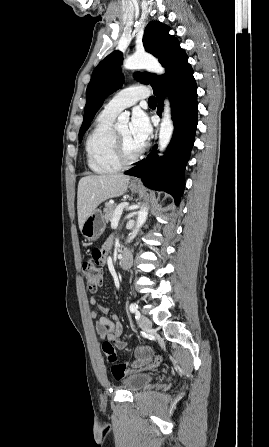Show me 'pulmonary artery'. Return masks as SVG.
Wrapping results in <instances>:
<instances>
[{
	"mask_svg": "<svg viewBox=\"0 0 269 447\" xmlns=\"http://www.w3.org/2000/svg\"><path fill=\"white\" fill-rule=\"evenodd\" d=\"M149 96L148 90L143 86H130L116 93L104 106V111L117 115L122 110L136 104L139 100Z\"/></svg>",
	"mask_w": 269,
	"mask_h": 447,
	"instance_id": "obj_1",
	"label": "pulmonary artery"
}]
</instances>
